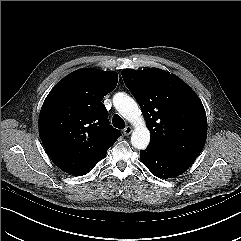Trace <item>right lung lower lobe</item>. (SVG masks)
I'll return each mask as SVG.
<instances>
[{
    "label": "right lung lower lobe",
    "mask_w": 241,
    "mask_h": 241,
    "mask_svg": "<svg viewBox=\"0 0 241 241\" xmlns=\"http://www.w3.org/2000/svg\"><path fill=\"white\" fill-rule=\"evenodd\" d=\"M104 158H105V157H104ZM98 162H99V161H98ZM98 162H96V163H94V164H92V165H90V166H88V167H86V168H84V169L79 170L78 172L74 173L73 175L81 176V175L87 174L88 172L91 171V169H92Z\"/></svg>",
    "instance_id": "obj_1"
}]
</instances>
